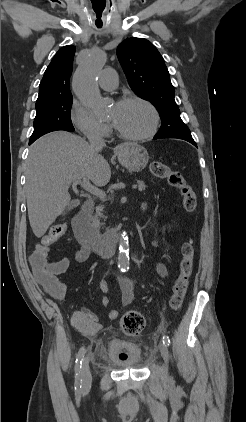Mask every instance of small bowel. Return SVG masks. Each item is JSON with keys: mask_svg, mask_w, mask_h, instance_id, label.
Wrapping results in <instances>:
<instances>
[{"mask_svg": "<svg viewBox=\"0 0 246 422\" xmlns=\"http://www.w3.org/2000/svg\"><path fill=\"white\" fill-rule=\"evenodd\" d=\"M90 254V250L86 247H82L75 254V260L77 262L85 261ZM70 266V259L63 257L58 261L50 262L48 265L47 275L43 278L37 277L39 284L42 286L44 291L52 298L62 301L65 299L67 294L66 285L58 279L60 274L67 271ZM156 271L161 277L167 276V269L162 263L156 264ZM136 280L134 278L124 279L120 283L121 301L123 305H129L134 300L133 288ZM100 288L105 294L102 303L104 306L109 304L110 298L108 295V284L105 278L100 280ZM109 318L115 320L118 318L119 313L117 310L112 309L109 312ZM74 326L84 335L93 336L101 328V321L97 315L88 310H78L73 314L72 318Z\"/></svg>", "mask_w": 246, "mask_h": 422, "instance_id": "1", "label": "small bowel"}]
</instances>
